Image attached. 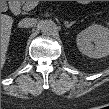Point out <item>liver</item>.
I'll return each instance as SVG.
<instances>
[{"instance_id":"1","label":"liver","mask_w":109,"mask_h":109,"mask_svg":"<svg viewBox=\"0 0 109 109\" xmlns=\"http://www.w3.org/2000/svg\"><path fill=\"white\" fill-rule=\"evenodd\" d=\"M13 18L8 15L1 16V63L4 65L9 45Z\"/></svg>"}]
</instances>
